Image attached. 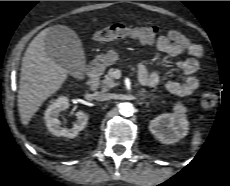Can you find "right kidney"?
<instances>
[{"mask_svg":"<svg viewBox=\"0 0 230 186\" xmlns=\"http://www.w3.org/2000/svg\"><path fill=\"white\" fill-rule=\"evenodd\" d=\"M69 108V100L67 97H59L51 105L48 106L45 111L44 120L48 130L56 135L63 136L67 138H73L78 135V133L83 130L88 121V115L82 111L76 113L77 120L73 124L72 128L63 127L58 117L60 113Z\"/></svg>","mask_w":230,"mask_h":186,"instance_id":"obj_1","label":"right kidney"}]
</instances>
